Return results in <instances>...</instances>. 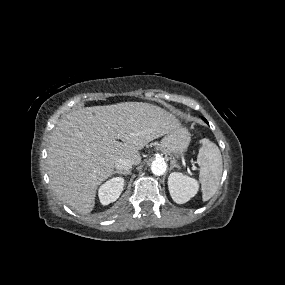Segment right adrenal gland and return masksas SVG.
Returning <instances> with one entry per match:
<instances>
[{"label": "right adrenal gland", "instance_id": "1", "mask_svg": "<svg viewBox=\"0 0 285 285\" xmlns=\"http://www.w3.org/2000/svg\"><path fill=\"white\" fill-rule=\"evenodd\" d=\"M130 170H128V171H114L113 172V174H120V175H128V174H130Z\"/></svg>", "mask_w": 285, "mask_h": 285}]
</instances>
